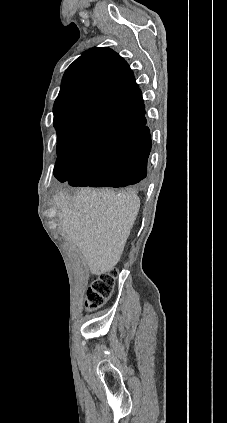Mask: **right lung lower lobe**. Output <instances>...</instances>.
<instances>
[{"label":"right lung lower lobe","mask_w":227,"mask_h":423,"mask_svg":"<svg viewBox=\"0 0 227 423\" xmlns=\"http://www.w3.org/2000/svg\"><path fill=\"white\" fill-rule=\"evenodd\" d=\"M109 121L122 120L136 131L127 139L103 146L91 153L71 175L69 164L57 161L54 175L70 186L126 187L142 184L147 175L148 158L152 143L146 127L142 97L124 104L100 110Z\"/></svg>","instance_id":"right-lung-lower-lobe-1"}]
</instances>
